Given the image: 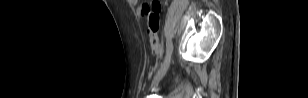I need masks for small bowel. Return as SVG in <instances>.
Wrapping results in <instances>:
<instances>
[{
  "label": "small bowel",
  "instance_id": "1",
  "mask_svg": "<svg viewBox=\"0 0 308 98\" xmlns=\"http://www.w3.org/2000/svg\"><path fill=\"white\" fill-rule=\"evenodd\" d=\"M136 2H137L136 0H132V3H133V4H136ZM142 7H143V6H142ZM142 7L139 9V12H140V10L142 9Z\"/></svg>",
  "mask_w": 308,
  "mask_h": 98
}]
</instances>
